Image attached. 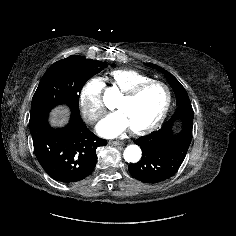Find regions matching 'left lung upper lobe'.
Instances as JSON below:
<instances>
[{"label": "left lung upper lobe", "instance_id": "5c2ea615", "mask_svg": "<svg viewBox=\"0 0 236 236\" xmlns=\"http://www.w3.org/2000/svg\"><path fill=\"white\" fill-rule=\"evenodd\" d=\"M146 66H149L151 68H155L160 72H163L166 76L167 81L171 85L175 95H176V105H181L183 103H191L190 99L188 97V94L185 90V88L181 85V83L168 71L164 70L160 66H157L155 64H149L145 63Z\"/></svg>", "mask_w": 236, "mask_h": 236}]
</instances>
